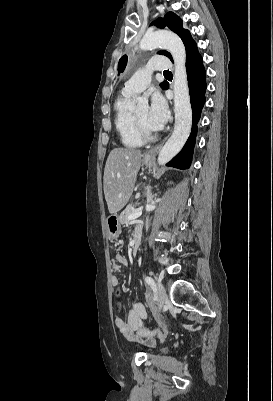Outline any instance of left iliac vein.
<instances>
[{"label":"left iliac vein","instance_id":"4c4485c4","mask_svg":"<svg viewBox=\"0 0 273 401\" xmlns=\"http://www.w3.org/2000/svg\"><path fill=\"white\" fill-rule=\"evenodd\" d=\"M156 293H157V297H158L159 309L162 310L164 307L165 300H166V292L160 281H158V283H157Z\"/></svg>","mask_w":273,"mask_h":401}]
</instances>
